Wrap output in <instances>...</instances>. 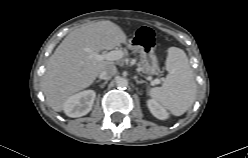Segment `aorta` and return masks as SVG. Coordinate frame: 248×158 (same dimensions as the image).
Segmentation results:
<instances>
[{
    "instance_id": "aorta-1",
    "label": "aorta",
    "mask_w": 248,
    "mask_h": 158,
    "mask_svg": "<svg viewBox=\"0 0 248 158\" xmlns=\"http://www.w3.org/2000/svg\"><path fill=\"white\" fill-rule=\"evenodd\" d=\"M116 85L118 86V88H126L128 85V80L126 78H119L116 81Z\"/></svg>"
}]
</instances>
